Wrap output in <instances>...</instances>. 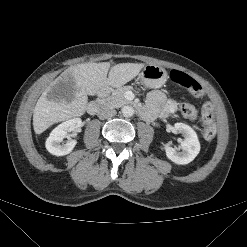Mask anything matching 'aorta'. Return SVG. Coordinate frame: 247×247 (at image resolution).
Wrapping results in <instances>:
<instances>
[{"label": "aorta", "mask_w": 247, "mask_h": 247, "mask_svg": "<svg viewBox=\"0 0 247 247\" xmlns=\"http://www.w3.org/2000/svg\"><path fill=\"white\" fill-rule=\"evenodd\" d=\"M121 112L124 117H131L134 114V109L132 106H124Z\"/></svg>", "instance_id": "obj_1"}]
</instances>
